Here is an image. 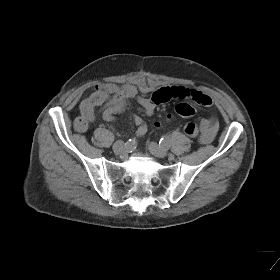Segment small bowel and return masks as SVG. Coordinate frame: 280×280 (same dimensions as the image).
<instances>
[{"instance_id": "c3829d8e", "label": "small bowel", "mask_w": 280, "mask_h": 280, "mask_svg": "<svg viewBox=\"0 0 280 280\" xmlns=\"http://www.w3.org/2000/svg\"><path fill=\"white\" fill-rule=\"evenodd\" d=\"M136 99L142 106L145 114L151 116L155 108L164 102L172 99L191 100L198 105L209 107L212 105L210 96L185 87H161L152 92L149 97L138 95V90L134 85H117L114 83H103L94 89V91L84 98L80 104L81 117L86 122L85 131L88 125L95 120L96 109L100 108V113L107 121H111L115 114L125 111L129 100ZM133 122L137 126L136 134L141 137L147 132V124L142 117L134 115ZM197 133L193 136L197 137L201 143H210L219 128V124L215 118L198 119Z\"/></svg>"}]
</instances>
